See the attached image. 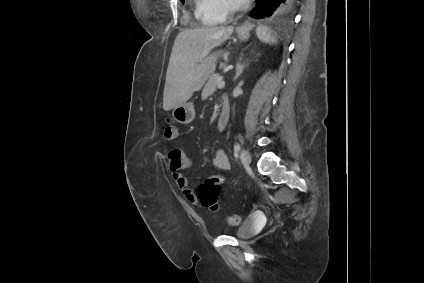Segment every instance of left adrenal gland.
Here are the masks:
<instances>
[{"mask_svg": "<svg viewBox=\"0 0 424 283\" xmlns=\"http://www.w3.org/2000/svg\"><path fill=\"white\" fill-rule=\"evenodd\" d=\"M245 67H246V65H241L240 63H237V65H236V76H235L234 80H236V79H238V77H240V75L243 73Z\"/></svg>", "mask_w": 424, "mask_h": 283, "instance_id": "left-adrenal-gland-1", "label": "left adrenal gland"}]
</instances>
